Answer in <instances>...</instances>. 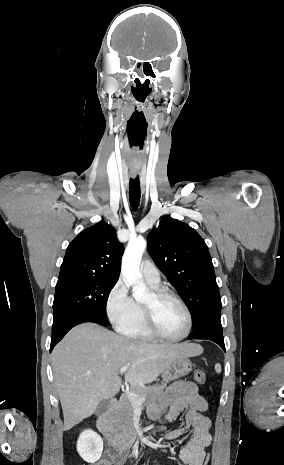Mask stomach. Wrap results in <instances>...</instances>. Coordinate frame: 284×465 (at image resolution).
<instances>
[{"instance_id":"0dacf381","label":"stomach","mask_w":284,"mask_h":465,"mask_svg":"<svg viewBox=\"0 0 284 465\" xmlns=\"http://www.w3.org/2000/svg\"><path fill=\"white\" fill-rule=\"evenodd\" d=\"M192 369L193 365L190 359H187V357H180V359L171 363L168 369H165L162 377L164 381H172V379H178V377L188 375Z\"/></svg>"}]
</instances>
